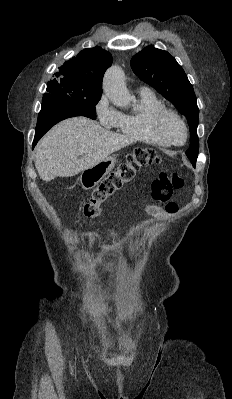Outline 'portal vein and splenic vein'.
Here are the masks:
<instances>
[{
  "instance_id": "1",
  "label": "portal vein and splenic vein",
  "mask_w": 232,
  "mask_h": 399,
  "mask_svg": "<svg viewBox=\"0 0 232 399\" xmlns=\"http://www.w3.org/2000/svg\"><path fill=\"white\" fill-rule=\"evenodd\" d=\"M88 150V146H81V148H79V154H87Z\"/></svg>"
}]
</instances>
